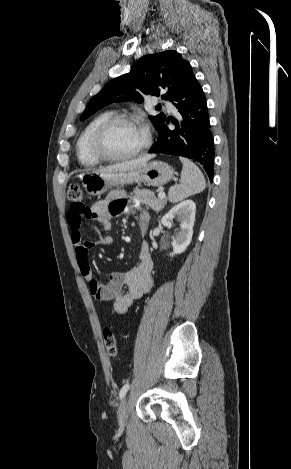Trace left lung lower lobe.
Listing matches in <instances>:
<instances>
[{"mask_svg": "<svg viewBox=\"0 0 291 469\" xmlns=\"http://www.w3.org/2000/svg\"><path fill=\"white\" fill-rule=\"evenodd\" d=\"M178 109L180 120H172L171 131L165 122L158 129V139L149 153L186 157L200 164L210 181L214 175V140L209 122L206 99L201 85L190 68L177 92L169 99Z\"/></svg>", "mask_w": 291, "mask_h": 469, "instance_id": "0a47b994", "label": "left lung lower lobe"}]
</instances>
